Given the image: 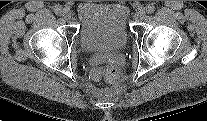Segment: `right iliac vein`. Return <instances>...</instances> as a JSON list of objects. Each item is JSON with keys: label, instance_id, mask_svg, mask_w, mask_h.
Here are the masks:
<instances>
[{"label": "right iliac vein", "instance_id": "63e3f726", "mask_svg": "<svg viewBox=\"0 0 207 121\" xmlns=\"http://www.w3.org/2000/svg\"><path fill=\"white\" fill-rule=\"evenodd\" d=\"M62 15L64 19L69 20L71 18V11L68 9H64Z\"/></svg>", "mask_w": 207, "mask_h": 121}]
</instances>
